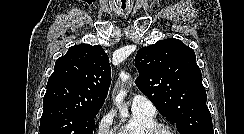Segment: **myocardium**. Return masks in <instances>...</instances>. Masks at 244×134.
I'll use <instances>...</instances> for the list:
<instances>
[{"label": "myocardium", "instance_id": "1", "mask_svg": "<svg viewBox=\"0 0 244 134\" xmlns=\"http://www.w3.org/2000/svg\"><path fill=\"white\" fill-rule=\"evenodd\" d=\"M161 130H166L170 134H179L171 125L166 123H154L145 130L144 134H158Z\"/></svg>", "mask_w": 244, "mask_h": 134}]
</instances>
